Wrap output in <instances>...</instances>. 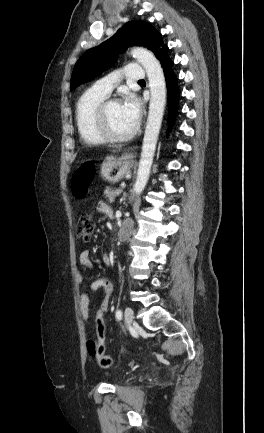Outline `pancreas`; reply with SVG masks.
<instances>
[{"mask_svg":"<svg viewBox=\"0 0 264 433\" xmlns=\"http://www.w3.org/2000/svg\"><path fill=\"white\" fill-rule=\"evenodd\" d=\"M116 191L110 187H106L104 194L106 195V197L108 198V201L110 203H113L115 201V197L117 196V194L115 193Z\"/></svg>","mask_w":264,"mask_h":433,"instance_id":"obj_1","label":"pancreas"}]
</instances>
